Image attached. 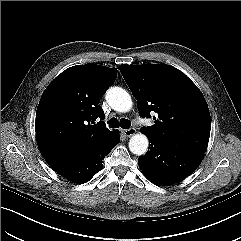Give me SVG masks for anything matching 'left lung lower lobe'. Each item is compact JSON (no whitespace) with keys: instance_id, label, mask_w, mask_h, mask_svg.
Returning a JSON list of instances; mask_svg holds the SVG:
<instances>
[{"instance_id":"left-lung-lower-lobe-1","label":"left lung lower lobe","mask_w":241,"mask_h":241,"mask_svg":"<svg viewBox=\"0 0 241 241\" xmlns=\"http://www.w3.org/2000/svg\"><path fill=\"white\" fill-rule=\"evenodd\" d=\"M146 155L138 158L145 176L156 185H170L189 176L201 163L203 153L179 148L148 137Z\"/></svg>"}]
</instances>
